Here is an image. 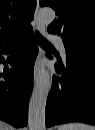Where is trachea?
Instances as JSON below:
<instances>
[{"mask_svg":"<svg viewBox=\"0 0 95 130\" xmlns=\"http://www.w3.org/2000/svg\"><path fill=\"white\" fill-rule=\"evenodd\" d=\"M35 35L39 45H41L42 47L53 48V46L45 38H43V36L39 32L36 31Z\"/></svg>","mask_w":95,"mask_h":130,"instance_id":"trachea-1","label":"trachea"}]
</instances>
